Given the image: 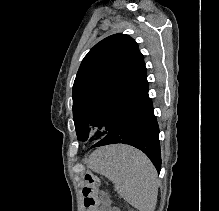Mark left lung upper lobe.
<instances>
[{"label":"left lung upper lobe","mask_w":219,"mask_h":211,"mask_svg":"<svg viewBox=\"0 0 219 211\" xmlns=\"http://www.w3.org/2000/svg\"><path fill=\"white\" fill-rule=\"evenodd\" d=\"M148 84L143 55L134 39L114 34L97 43L84 57L73 85L78 139L86 141L92 127L105 128L96 138L108 135Z\"/></svg>","instance_id":"1"}]
</instances>
